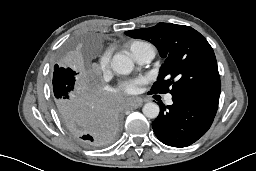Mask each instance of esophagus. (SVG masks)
Segmentation results:
<instances>
[{
	"label": "esophagus",
	"mask_w": 256,
	"mask_h": 171,
	"mask_svg": "<svg viewBox=\"0 0 256 171\" xmlns=\"http://www.w3.org/2000/svg\"><path fill=\"white\" fill-rule=\"evenodd\" d=\"M143 101L139 98L130 100L127 104L129 109H137L142 105Z\"/></svg>",
	"instance_id": "34e87169"
}]
</instances>
